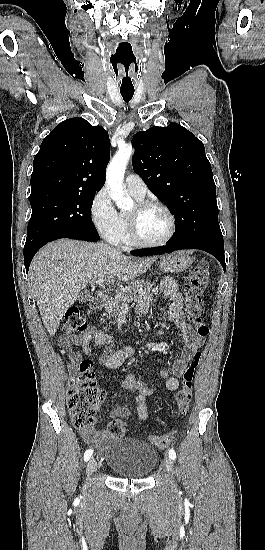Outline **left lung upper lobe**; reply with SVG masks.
Segmentation results:
<instances>
[{
  "label": "left lung upper lobe",
  "mask_w": 265,
  "mask_h": 550,
  "mask_svg": "<svg viewBox=\"0 0 265 550\" xmlns=\"http://www.w3.org/2000/svg\"><path fill=\"white\" fill-rule=\"evenodd\" d=\"M133 169L169 208L176 230L169 243L224 251L216 186L203 143L177 123L138 132Z\"/></svg>",
  "instance_id": "left-lung-upper-lobe-1"
}]
</instances>
